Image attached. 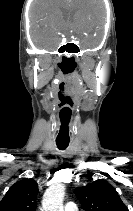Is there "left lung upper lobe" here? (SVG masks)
Instances as JSON below:
<instances>
[{
  "label": "left lung upper lobe",
  "instance_id": "1",
  "mask_svg": "<svg viewBox=\"0 0 133 211\" xmlns=\"http://www.w3.org/2000/svg\"><path fill=\"white\" fill-rule=\"evenodd\" d=\"M75 193L85 211H128L115 188L103 180L78 187Z\"/></svg>",
  "mask_w": 133,
  "mask_h": 211
}]
</instances>
